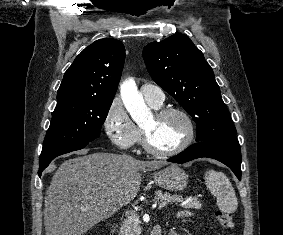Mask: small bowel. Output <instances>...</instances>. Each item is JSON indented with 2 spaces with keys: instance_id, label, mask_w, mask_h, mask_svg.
Returning a JSON list of instances; mask_svg holds the SVG:
<instances>
[{
  "instance_id": "small-bowel-1",
  "label": "small bowel",
  "mask_w": 283,
  "mask_h": 235,
  "mask_svg": "<svg viewBox=\"0 0 283 235\" xmlns=\"http://www.w3.org/2000/svg\"><path fill=\"white\" fill-rule=\"evenodd\" d=\"M180 216H186V214H184V213H181V214H180Z\"/></svg>"
}]
</instances>
